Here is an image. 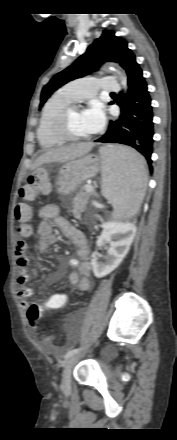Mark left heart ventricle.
<instances>
[{"label": "left heart ventricle", "mask_w": 177, "mask_h": 440, "mask_svg": "<svg viewBox=\"0 0 177 440\" xmlns=\"http://www.w3.org/2000/svg\"><path fill=\"white\" fill-rule=\"evenodd\" d=\"M68 130L70 134L74 136H87V132L83 119L82 112L80 110H72L68 118Z\"/></svg>", "instance_id": "left-heart-ventricle-1"}]
</instances>
